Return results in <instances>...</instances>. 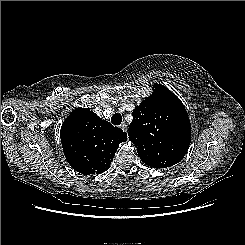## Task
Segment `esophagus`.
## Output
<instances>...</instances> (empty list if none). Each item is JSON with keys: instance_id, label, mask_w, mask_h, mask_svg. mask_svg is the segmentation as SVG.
Instances as JSON below:
<instances>
[{"instance_id": "1", "label": "esophagus", "mask_w": 245, "mask_h": 245, "mask_svg": "<svg viewBox=\"0 0 245 245\" xmlns=\"http://www.w3.org/2000/svg\"><path fill=\"white\" fill-rule=\"evenodd\" d=\"M120 128H121L122 130H124L125 132L128 131L127 125H126L125 123H122V124L120 125Z\"/></svg>"}]
</instances>
